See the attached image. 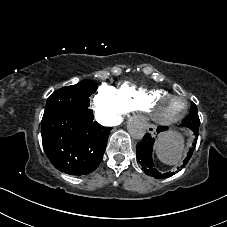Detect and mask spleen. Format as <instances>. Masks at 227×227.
I'll return each mask as SVG.
<instances>
[{"instance_id":"spleen-1","label":"spleen","mask_w":227,"mask_h":227,"mask_svg":"<svg viewBox=\"0 0 227 227\" xmlns=\"http://www.w3.org/2000/svg\"><path fill=\"white\" fill-rule=\"evenodd\" d=\"M157 155L167 164H178L184 152V140L177 132H168L160 136L156 144Z\"/></svg>"}]
</instances>
